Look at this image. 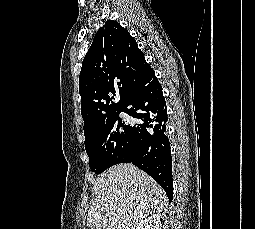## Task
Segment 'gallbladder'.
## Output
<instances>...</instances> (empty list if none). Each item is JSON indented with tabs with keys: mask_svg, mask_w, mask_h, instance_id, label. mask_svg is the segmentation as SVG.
Listing matches in <instances>:
<instances>
[{
	"mask_svg": "<svg viewBox=\"0 0 255 229\" xmlns=\"http://www.w3.org/2000/svg\"><path fill=\"white\" fill-rule=\"evenodd\" d=\"M101 229H107L106 227H103V228H101Z\"/></svg>",
	"mask_w": 255,
	"mask_h": 229,
	"instance_id": "bac80fb5",
	"label": "gallbladder"
}]
</instances>
